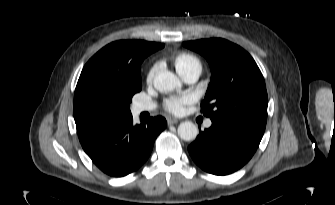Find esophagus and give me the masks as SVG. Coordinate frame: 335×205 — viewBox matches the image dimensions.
Here are the masks:
<instances>
[{
	"label": "esophagus",
	"mask_w": 335,
	"mask_h": 205,
	"mask_svg": "<svg viewBox=\"0 0 335 205\" xmlns=\"http://www.w3.org/2000/svg\"><path fill=\"white\" fill-rule=\"evenodd\" d=\"M178 122H179V120L176 119V118H171V117L167 118L168 125L176 124Z\"/></svg>",
	"instance_id": "34e87169"
}]
</instances>
